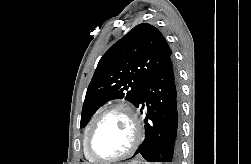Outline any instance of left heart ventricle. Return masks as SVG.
<instances>
[{
    "label": "left heart ventricle",
    "instance_id": "left-heart-ventricle-1",
    "mask_svg": "<svg viewBox=\"0 0 251 164\" xmlns=\"http://www.w3.org/2000/svg\"><path fill=\"white\" fill-rule=\"evenodd\" d=\"M133 135L129 117L123 111H113L99 123L91 143L92 152L101 158L117 156L129 148Z\"/></svg>",
    "mask_w": 251,
    "mask_h": 164
}]
</instances>
